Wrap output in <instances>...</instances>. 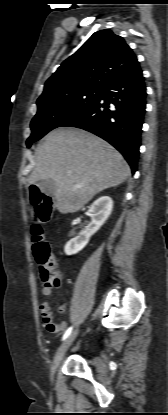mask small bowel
<instances>
[{
    "instance_id": "small-bowel-1",
    "label": "small bowel",
    "mask_w": 168,
    "mask_h": 415,
    "mask_svg": "<svg viewBox=\"0 0 168 415\" xmlns=\"http://www.w3.org/2000/svg\"><path fill=\"white\" fill-rule=\"evenodd\" d=\"M59 289L60 288V282H58L56 285L54 286H50V285H44L42 287V294L45 297H49L51 295L52 289ZM40 313L43 319V322L45 324V326L47 327V329L51 332H60L62 331L65 327H66V322H60V323H56L53 317V312L52 309L49 305V303L47 301H44L43 303H41L40 307ZM58 312L63 313L65 311V306L63 304L59 305L57 308Z\"/></svg>"
}]
</instances>
